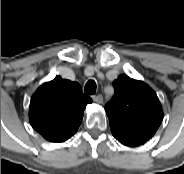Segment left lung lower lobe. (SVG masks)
<instances>
[{"label": "left lung lower lobe", "mask_w": 184, "mask_h": 174, "mask_svg": "<svg viewBox=\"0 0 184 174\" xmlns=\"http://www.w3.org/2000/svg\"><path fill=\"white\" fill-rule=\"evenodd\" d=\"M111 132H112L113 136L120 143H122L125 146L136 147V146L142 145V144H144L146 142L144 140H140V139H136V138H133V137H129V136H126V135H123V134H120V133H117V132H114V131H111Z\"/></svg>", "instance_id": "0a47b994"}]
</instances>
